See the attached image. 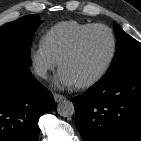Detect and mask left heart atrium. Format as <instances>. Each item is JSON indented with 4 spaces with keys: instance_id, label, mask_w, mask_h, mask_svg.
Returning a JSON list of instances; mask_svg holds the SVG:
<instances>
[{
    "instance_id": "1",
    "label": "left heart atrium",
    "mask_w": 141,
    "mask_h": 141,
    "mask_svg": "<svg viewBox=\"0 0 141 141\" xmlns=\"http://www.w3.org/2000/svg\"><path fill=\"white\" fill-rule=\"evenodd\" d=\"M53 84L56 87L65 88L74 85V82L63 69H60L58 74L54 78Z\"/></svg>"
}]
</instances>
